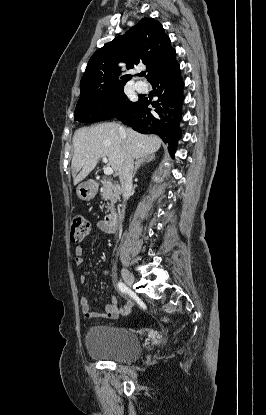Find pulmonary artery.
<instances>
[{
    "mask_svg": "<svg viewBox=\"0 0 266 415\" xmlns=\"http://www.w3.org/2000/svg\"><path fill=\"white\" fill-rule=\"evenodd\" d=\"M135 88L139 91V92H145L147 90V85L142 82V81H137L135 83Z\"/></svg>",
    "mask_w": 266,
    "mask_h": 415,
    "instance_id": "e3ab8cb5",
    "label": "pulmonary artery"
}]
</instances>
